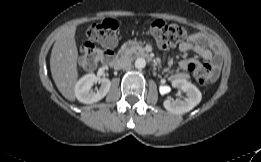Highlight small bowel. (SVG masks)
<instances>
[{
	"label": "small bowel",
	"instance_id": "c3829d8e",
	"mask_svg": "<svg viewBox=\"0 0 261 162\" xmlns=\"http://www.w3.org/2000/svg\"><path fill=\"white\" fill-rule=\"evenodd\" d=\"M205 39L206 37L201 33L191 34L185 41L180 43L179 50L183 53L193 51L204 60L209 61L212 65V76H215L220 68L221 59L203 44ZM196 64L200 66L199 63L193 59L183 60L180 62V68L182 70H190L193 66H196Z\"/></svg>",
	"mask_w": 261,
	"mask_h": 162
}]
</instances>
